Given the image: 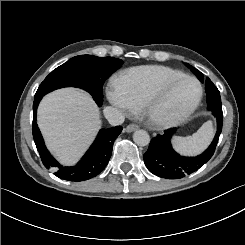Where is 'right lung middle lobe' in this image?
<instances>
[{
    "label": "right lung middle lobe",
    "instance_id": "1",
    "mask_svg": "<svg viewBox=\"0 0 245 245\" xmlns=\"http://www.w3.org/2000/svg\"><path fill=\"white\" fill-rule=\"evenodd\" d=\"M122 60L113 57L80 55L53 70L40 84L35 97L62 87H79L88 91L101 106L104 81L118 68Z\"/></svg>",
    "mask_w": 245,
    "mask_h": 245
}]
</instances>
